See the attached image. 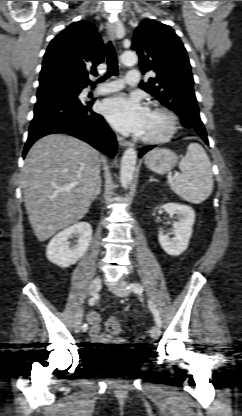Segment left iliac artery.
<instances>
[{"label": "left iliac artery", "mask_w": 242, "mask_h": 416, "mask_svg": "<svg viewBox=\"0 0 242 416\" xmlns=\"http://www.w3.org/2000/svg\"><path fill=\"white\" fill-rule=\"evenodd\" d=\"M127 289H129L131 291H134L135 293H139L143 290V287L139 283H131L127 286ZM148 303H149V309L152 312V314L154 315L156 324L159 327H161L162 326V320L160 318L158 310L156 309V306L154 305V303L151 300H149Z\"/></svg>", "instance_id": "1"}]
</instances>
